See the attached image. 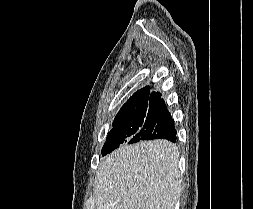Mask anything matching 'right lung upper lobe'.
Segmentation results:
<instances>
[{
	"label": "right lung upper lobe",
	"mask_w": 253,
	"mask_h": 209,
	"mask_svg": "<svg viewBox=\"0 0 253 209\" xmlns=\"http://www.w3.org/2000/svg\"><path fill=\"white\" fill-rule=\"evenodd\" d=\"M161 99L159 92H150L149 86L138 90L132 97L122 106L116 118L128 116L134 112L143 109H150L152 105Z\"/></svg>",
	"instance_id": "right-lung-upper-lobe-1"
}]
</instances>
